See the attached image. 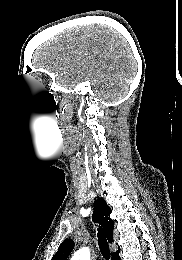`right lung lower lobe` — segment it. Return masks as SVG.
I'll return each mask as SVG.
<instances>
[{
	"label": "right lung lower lobe",
	"instance_id": "1",
	"mask_svg": "<svg viewBox=\"0 0 182 260\" xmlns=\"http://www.w3.org/2000/svg\"><path fill=\"white\" fill-rule=\"evenodd\" d=\"M112 260H121L119 256V251L112 254Z\"/></svg>",
	"mask_w": 182,
	"mask_h": 260
}]
</instances>
